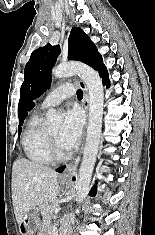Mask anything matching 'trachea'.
<instances>
[{
	"label": "trachea",
	"mask_w": 155,
	"mask_h": 235,
	"mask_svg": "<svg viewBox=\"0 0 155 235\" xmlns=\"http://www.w3.org/2000/svg\"><path fill=\"white\" fill-rule=\"evenodd\" d=\"M77 96L79 99H82V97H83V92L80 89L77 90Z\"/></svg>",
	"instance_id": "1"
}]
</instances>
